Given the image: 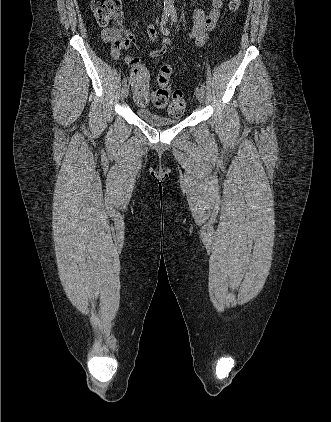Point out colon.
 I'll return each instance as SVG.
<instances>
[{
	"label": "colon",
	"mask_w": 331,
	"mask_h": 422,
	"mask_svg": "<svg viewBox=\"0 0 331 422\" xmlns=\"http://www.w3.org/2000/svg\"><path fill=\"white\" fill-rule=\"evenodd\" d=\"M241 4L242 0H231L229 8L236 13L240 10ZM91 8L101 26H106L110 21L117 22L121 20L118 0H91ZM171 74V65L164 64L160 69L158 86L152 92L151 98L156 107H164L169 101L168 113L171 116H179L185 110L186 101L181 90H175L171 93L169 84ZM132 75L143 83L147 82L150 76L147 67L143 64L135 65L132 68ZM147 96L148 93L145 87L137 90V99L140 102L146 101Z\"/></svg>",
	"instance_id": "5ec220e1"
}]
</instances>
